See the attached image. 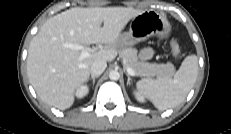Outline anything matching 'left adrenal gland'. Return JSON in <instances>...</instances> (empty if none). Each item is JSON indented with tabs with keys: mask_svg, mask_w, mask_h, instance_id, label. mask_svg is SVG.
Wrapping results in <instances>:
<instances>
[{
	"mask_svg": "<svg viewBox=\"0 0 231 134\" xmlns=\"http://www.w3.org/2000/svg\"><path fill=\"white\" fill-rule=\"evenodd\" d=\"M126 76H127V85H130L131 76L128 73H126Z\"/></svg>",
	"mask_w": 231,
	"mask_h": 134,
	"instance_id": "obj_1",
	"label": "left adrenal gland"
}]
</instances>
